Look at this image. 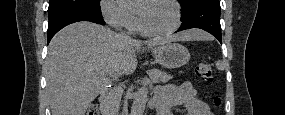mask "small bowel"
I'll return each instance as SVG.
<instances>
[{
  "instance_id": "1",
  "label": "small bowel",
  "mask_w": 285,
  "mask_h": 115,
  "mask_svg": "<svg viewBox=\"0 0 285 115\" xmlns=\"http://www.w3.org/2000/svg\"><path fill=\"white\" fill-rule=\"evenodd\" d=\"M158 115H174V110L183 107L185 115H211L209 106L202 101L189 82L180 86L165 85L156 93Z\"/></svg>"
}]
</instances>
